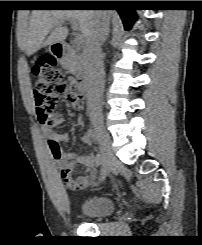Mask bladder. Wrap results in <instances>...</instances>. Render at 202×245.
<instances>
[{
  "label": "bladder",
  "mask_w": 202,
  "mask_h": 245,
  "mask_svg": "<svg viewBox=\"0 0 202 245\" xmlns=\"http://www.w3.org/2000/svg\"><path fill=\"white\" fill-rule=\"evenodd\" d=\"M115 209L116 203L111 197H90L81 205L80 213L87 219L99 220L112 214Z\"/></svg>",
  "instance_id": "1"
}]
</instances>
